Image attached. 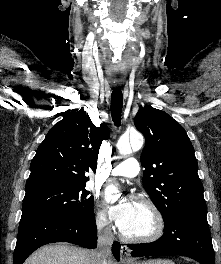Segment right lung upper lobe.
Instances as JSON below:
<instances>
[{
    "mask_svg": "<svg viewBox=\"0 0 221 264\" xmlns=\"http://www.w3.org/2000/svg\"><path fill=\"white\" fill-rule=\"evenodd\" d=\"M108 137V127L97 128L83 110L69 113L38 147L25 190L50 183L86 185V173L96 171L101 143Z\"/></svg>",
    "mask_w": 221,
    "mask_h": 264,
    "instance_id": "1",
    "label": "right lung upper lobe"
}]
</instances>
